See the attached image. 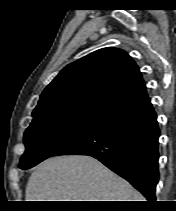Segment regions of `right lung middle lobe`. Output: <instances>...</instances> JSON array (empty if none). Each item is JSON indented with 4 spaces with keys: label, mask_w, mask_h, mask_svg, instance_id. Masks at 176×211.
I'll return each mask as SVG.
<instances>
[{
    "label": "right lung middle lobe",
    "mask_w": 176,
    "mask_h": 211,
    "mask_svg": "<svg viewBox=\"0 0 176 211\" xmlns=\"http://www.w3.org/2000/svg\"><path fill=\"white\" fill-rule=\"evenodd\" d=\"M33 117L24 133L26 149L20 159L21 169H29L52 156L102 120L64 111H49Z\"/></svg>",
    "instance_id": "dd1d6c3e"
}]
</instances>
